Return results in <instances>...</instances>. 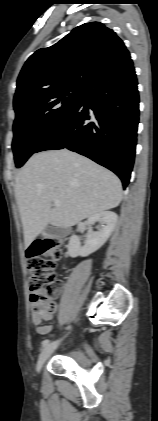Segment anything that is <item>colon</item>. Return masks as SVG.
Returning <instances> with one entry per match:
<instances>
[{
    "label": "colon",
    "mask_w": 158,
    "mask_h": 421,
    "mask_svg": "<svg viewBox=\"0 0 158 421\" xmlns=\"http://www.w3.org/2000/svg\"><path fill=\"white\" fill-rule=\"evenodd\" d=\"M63 249L58 240H39L26 251L29 274L30 299L33 313L46 317L55 312V297L59 294L61 282L55 269Z\"/></svg>",
    "instance_id": "1"
}]
</instances>
